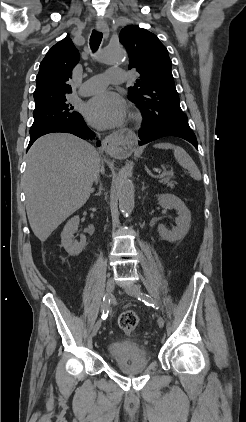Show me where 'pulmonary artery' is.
I'll return each instance as SVG.
<instances>
[{
	"label": "pulmonary artery",
	"instance_id": "e3ab8cb5",
	"mask_svg": "<svg viewBox=\"0 0 246 422\" xmlns=\"http://www.w3.org/2000/svg\"><path fill=\"white\" fill-rule=\"evenodd\" d=\"M126 72L120 68H111L106 73L95 75L85 81L79 91L82 96H89L102 91L109 83H123Z\"/></svg>",
	"mask_w": 246,
	"mask_h": 422
}]
</instances>
